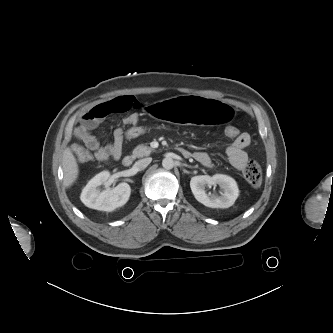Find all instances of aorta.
Listing matches in <instances>:
<instances>
[{
	"label": "aorta",
	"instance_id": "1",
	"mask_svg": "<svg viewBox=\"0 0 333 333\" xmlns=\"http://www.w3.org/2000/svg\"><path fill=\"white\" fill-rule=\"evenodd\" d=\"M162 166L165 169H172L174 167V161L170 157H166L162 160Z\"/></svg>",
	"mask_w": 333,
	"mask_h": 333
}]
</instances>
